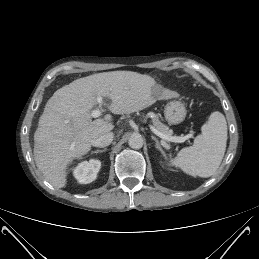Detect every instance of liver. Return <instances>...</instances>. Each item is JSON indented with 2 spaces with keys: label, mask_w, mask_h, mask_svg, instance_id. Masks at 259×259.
<instances>
[{
  "label": "liver",
  "mask_w": 259,
  "mask_h": 259,
  "mask_svg": "<svg viewBox=\"0 0 259 259\" xmlns=\"http://www.w3.org/2000/svg\"><path fill=\"white\" fill-rule=\"evenodd\" d=\"M98 96L111 100L114 114H130L143 110L157 99L178 97L163 90L158 93L155 80L132 71H111L74 80L58 89L48 100L34 133V159L39 171L55 188L66 185V167L87 154L92 140L110 132L112 116L92 121L91 110Z\"/></svg>",
  "instance_id": "obj_1"
}]
</instances>
